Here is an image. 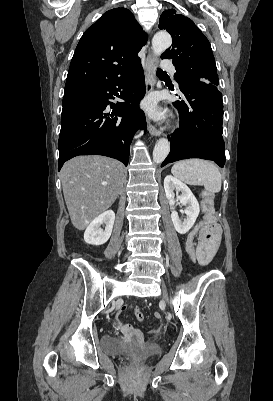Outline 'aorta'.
Masks as SVG:
<instances>
[{
	"label": "aorta",
	"mask_w": 273,
	"mask_h": 401,
	"mask_svg": "<svg viewBox=\"0 0 273 401\" xmlns=\"http://www.w3.org/2000/svg\"><path fill=\"white\" fill-rule=\"evenodd\" d=\"M172 44V38L167 32H158L152 39V49L156 56L161 55ZM170 152V143L166 138L159 139L153 150V161L163 162Z\"/></svg>",
	"instance_id": "1"
}]
</instances>
